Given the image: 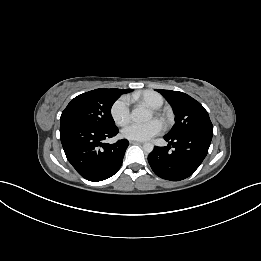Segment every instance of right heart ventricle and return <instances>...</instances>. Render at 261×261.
<instances>
[{"label":"right heart ventricle","mask_w":261,"mask_h":261,"mask_svg":"<svg viewBox=\"0 0 261 261\" xmlns=\"http://www.w3.org/2000/svg\"><path fill=\"white\" fill-rule=\"evenodd\" d=\"M135 98L140 99L154 109L161 107L163 104V97L154 91H144L143 93L136 95Z\"/></svg>","instance_id":"right-heart-ventricle-1"}]
</instances>
